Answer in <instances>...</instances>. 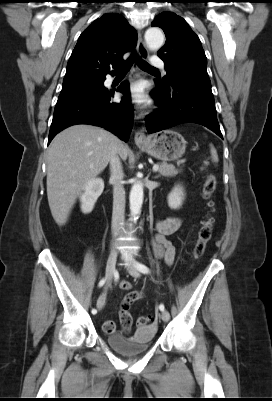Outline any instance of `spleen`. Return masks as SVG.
<instances>
[{
  "instance_id": "3e777b00",
  "label": "spleen",
  "mask_w": 272,
  "mask_h": 401,
  "mask_svg": "<svg viewBox=\"0 0 272 401\" xmlns=\"http://www.w3.org/2000/svg\"><path fill=\"white\" fill-rule=\"evenodd\" d=\"M210 147H211V156H212V160L214 161V162H218V155H217V151H216V149L213 147V145H210Z\"/></svg>"
}]
</instances>
